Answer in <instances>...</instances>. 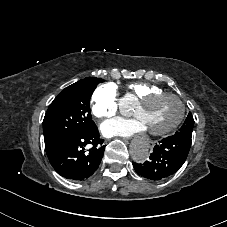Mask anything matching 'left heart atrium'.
I'll use <instances>...</instances> for the list:
<instances>
[{
    "label": "left heart atrium",
    "mask_w": 227,
    "mask_h": 227,
    "mask_svg": "<svg viewBox=\"0 0 227 227\" xmlns=\"http://www.w3.org/2000/svg\"><path fill=\"white\" fill-rule=\"evenodd\" d=\"M100 130L106 137H130L134 134L144 132L146 128L138 119L116 118L103 123Z\"/></svg>",
    "instance_id": "left-heart-atrium-1"
}]
</instances>
